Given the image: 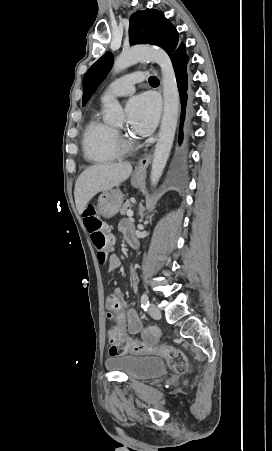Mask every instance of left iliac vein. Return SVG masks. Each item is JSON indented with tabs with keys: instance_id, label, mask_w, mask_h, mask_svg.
<instances>
[{
	"instance_id": "1",
	"label": "left iliac vein",
	"mask_w": 272,
	"mask_h": 451,
	"mask_svg": "<svg viewBox=\"0 0 272 451\" xmlns=\"http://www.w3.org/2000/svg\"><path fill=\"white\" fill-rule=\"evenodd\" d=\"M148 313L154 319H160V317H161L160 310L154 304H150V306L148 308Z\"/></svg>"
}]
</instances>
